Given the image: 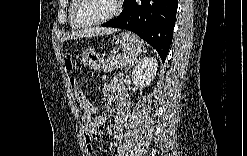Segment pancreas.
<instances>
[{"label": "pancreas", "mask_w": 247, "mask_h": 156, "mask_svg": "<svg viewBox=\"0 0 247 156\" xmlns=\"http://www.w3.org/2000/svg\"><path fill=\"white\" fill-rule=\"evenodd\" d=\"M130 61H132V57L125 53H113L107 58L103 65V71L110 73L114 69L126 66Z\"/></svg>", "instance_id": "obj_1"}]
</instances>
